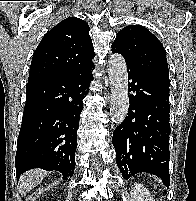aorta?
I'll use <instances>...</instances> for the list:
<instances>
[{
    "label": "aorta",
    "instance_id": "aorta-1",
    "mask_svg": "<svg viewBox=\"0 0 196 201\" xmlns=\"http://www.w3.org/2000/svg\"><path fill=\"white\" fill-rule=\"evenodd\" d=\"M108 75L111 86V120L115 124H121L129 108L127 65L122 55L116 53L110 56Z\"/></svg>",
    "mask_w": 196,
    "mask_h": 201
}]
</instances>
